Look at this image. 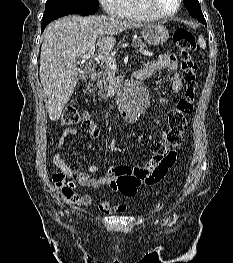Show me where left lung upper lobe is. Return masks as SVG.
<instances>
[{"mask_svg":"<svg viewBox=\"0 0 233 263\" xmlns=\"http://www.w3.org/2000/svg\"><path fill=\"white\" fill-rule=\"evenodd\" d=\"M189 13L197 18V20L203 24L206 23L205 18L202 14L198 0H183Z\"/></svg>","mask_w":233,"mask_h":263,"instance_id":"left-lung-upper-lobe-1","label":"left lung upper lobe"}]
</instances>
